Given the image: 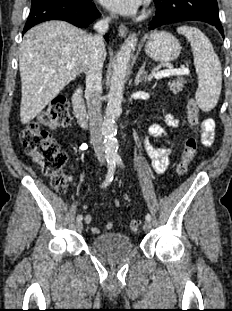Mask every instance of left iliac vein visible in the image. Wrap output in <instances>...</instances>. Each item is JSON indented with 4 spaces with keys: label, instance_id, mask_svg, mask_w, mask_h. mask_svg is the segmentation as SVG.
I'll use <instances>...</instances> for the list:
<instances>
[{
    "label": "left iliac vein",
    "instance_id": "4c4485c4",
    "mask_svg": "<svg viewBox=\"0 0 232 311\" xmlns=\"http://www.w3.org/2000/svg\"><path fill=\"white\" fill-rule=\"evenodd\" d=\"M144 231H149L151 229V223L149 221H146L143 225Z\"/></svg>",
    "mask_w": 232,
    "mask_h": 311
}]
</instances>
